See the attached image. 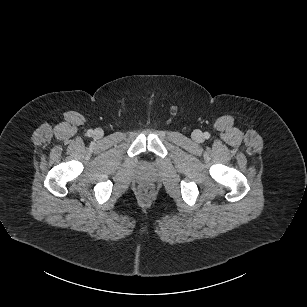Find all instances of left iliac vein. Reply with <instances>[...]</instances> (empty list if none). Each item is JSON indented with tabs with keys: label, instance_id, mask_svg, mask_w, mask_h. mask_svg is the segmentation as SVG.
<instances>
[{
	"label": "left iliac vein",
	"instance_id": "4c4485c4",
	"mask_svg": "<svg viewBox=\"0 0 307 307\" xmlns=\"http://www.w3.org/2000/svg\"><path fill=\"white\" fill-rule=\"evenodd\" d=\"M192 138L196 141V142H202L203 141V134L201 133V131L199 130H195L192 134Z\"/></svg>",
	"mask_w": 307,
	"mask_h": 307
}]
</instances>
